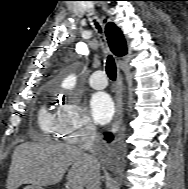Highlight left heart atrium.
<instances>
[{"label": "left heart atrium", "instance_id": "1", "mask_svg": "<svg viewBox=\"0 0 188 189\" xmlns=\"http://www.w3.org/2000/svg\"><path fill=\"white\" fill-rule=\"evenodd\" d=\"M90 111L97 123H107L114 113V104L111 97L104 92L93 94L90 99Z\"/></svg>", "mask_w": 188, "mask_h": 189}]
</instances>
